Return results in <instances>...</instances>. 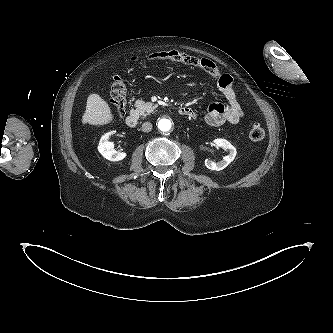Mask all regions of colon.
I'll return each instance as SVG.
<instances>
[{
  "label": "colon",
  "mask_w": 333,
  "mask_h": 333,
  "mask_svg": "<svg viewBox=\"0 0 333 333\" xmlns=\"http://www.w3.org/2000/svg\"><path fill=\"white\" fill-rule=\"evenodd\" d=\"M136 61H162L170 63H180L190 67H196L207 73L208 75L220 78L222 76L219 68L214 62L207 58L195 57L176 50L162 51L153 53L143 59H135ZM110 103L118 116L125 113L127 104V87L124 80L119 76H114L110 88ZM265 137V130L259 124H251L249 127V138L258 142Z\"/></svg>",
  "instance_id": "5ec220e1"
}]
</instances>
